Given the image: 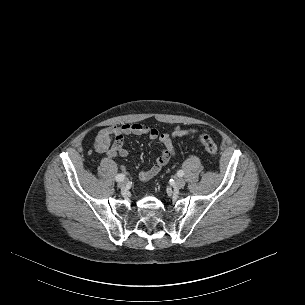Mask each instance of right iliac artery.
Segmentation results:
<instances>
[{
    "instance_id": "1",
    "label": "right iliac artery",
    "mask_w": 305,
    "mask_h": 305,
    "mask_svg": "<svg viewBox=\"0 0 305 305\" xmlns=\"http://www.w3.org/2000/svg\"><path fill=\"white\" fill-rule=\"evenodd\" d=\"M124 178H125V174H118V175L115 177V179H116L117 182L123 181Z\"/></svg>"
}]
</instances>
